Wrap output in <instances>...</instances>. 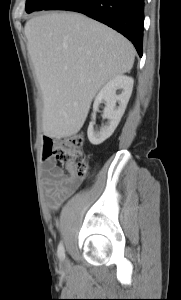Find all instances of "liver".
<instances>
[{"label":"liver","mask_w":181,"mask_h":300,"mask_svg":"<svg viewBox=\"0 0 181 300\" xmlns=\"http://www.w3.org/2000/svg\"><path fill=\"white\" fill-rule=\"evenodd\" d=\"M25 36L43 96L42 130L51 138L78 133L100 88L134 63L128 39L80 13L36 16Z\"/></svg>","instance_id":"6515ba94"}]
</instances>
